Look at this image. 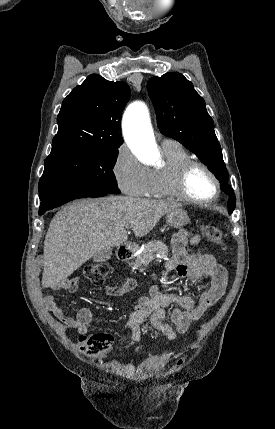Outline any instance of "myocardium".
Returning <instances> with one entry per match:
<instances>
[{"label": "myocardium", "instance_id": "1", "mask_svg": "<svg viewBox=\"0 0 275 429\" xmlns=\"http://www.w3.org/2000/svg\"><path fill=\"white\" fill-rule=\"evenodd\" d=\"M195 168L203 169L215 183V194L209 199L198 200L192 197L187 190V179L191 171ZM173 190L178 198L194 205L203 206L215 202L220 197L221 182L217 174L207 164L199 160L189 159L179 165V167L176 169L173 178Z\"/></svg>", "mask_w": 275, "mask_h": 429}]
</instances>
